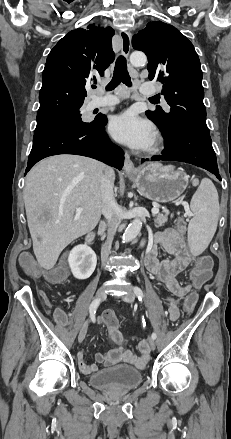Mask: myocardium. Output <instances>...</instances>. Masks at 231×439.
<instances>
[{
    "mask_svg": "<svg viewBox=\"0 0 231 439\" xmlns=\"http://www.w3.org/2000/svg\"><path fill=\"white\" fill-rule=\"evenodd\" d=\"M162 144V138L159 134L154 137V141L151 144L149 151H157Z\"/></svg>",
    "mask_w": 231,
    "mask_h": 439,
    "instance_id": "1",
    "label": "myocardium"
}]
</instances>
